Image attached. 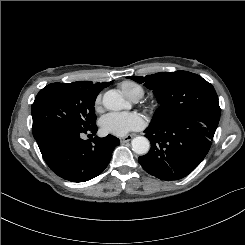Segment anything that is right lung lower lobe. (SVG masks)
Returning a JSON list of instances; mask_svg holds the SVG:
<instances>
[{"mask_svg": "<svg viewBox=\"0 0 245 245\" xmlns=\"http://www.w3.org/2000/svg\"><path fill=\"white\" fill-rule=\"evenodd\" d=\"M97 126L86 131L53 128L36 140L43 159L50 169L61 178L73 182L88 181L109 164L118 138L108 135L95 137L92 141L83 140V133L97 132Z\"/></svg>", "mask_w": 245, "mask_h": 245, "instance_id": "right-lung-lower-lobe-1", "label": "right lung lower lobe"}]
</instances>
